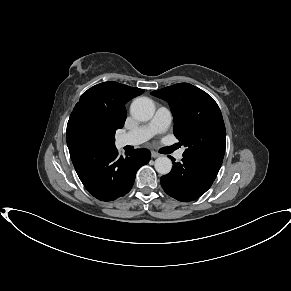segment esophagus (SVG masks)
<instances>
[{
	"mask_svg": "<svg viewBox=\"0 0 291 291\" xmlns=\"http://www.w3.org/2000/svg\"><path fill=\"white\" fill-rule=\"evenodd\" d=\"M151 156H152L153 158H157V157L160 156V154L157 153V152H155V151H152V152H151Z\"/></svg>",
	"mask_w": 291,
	"mask_h": 291,
	"instance_id": "34e87169",
	"label": "esophagus"
}]
</instances>
